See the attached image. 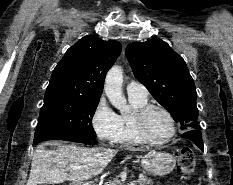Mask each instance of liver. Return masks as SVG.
Masks as SVG:
<instances>
[{"instance_id": "6515ba94", "label": "liver", "mask_w": 233, "mask_h": 185, "mask_svg": "<svg viewBox=\"0 0 233 185\" xmlns=\"http://www.w3.org/2000/svg\"><path fill=\"white\" fill-rule=\"evenodd\" d=\"M54 150H46L44 144L37 146L32 159L26 185L58 184L68 180L72 185L82 183L101 174L118 150L111 148H84L76 145L52 143ZM80 165L81 169H71Z\"/></svg>"}]
</instances>
